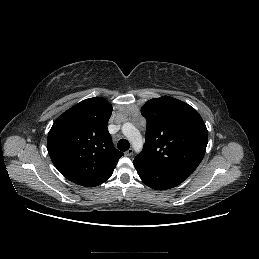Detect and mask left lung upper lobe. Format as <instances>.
<instances>
[{
    "label": "left lung upper lobe",
    "instance_id": "obj_1",
    "mask_svg": "<svg viewBox=\"0 0 259 259\" xmlns=\"http://www.w3.org/2000/svg\"><path fill=\"white\" fill-rule=\"evenodd\" d=\"M141 113L147 120L146 142L135 159L188 178L202 161L208 142L201 116L169 96L147 101Z\"/></svg>",
    "mask_w": 259,
    "mask_h": 259
}]
</instances>
